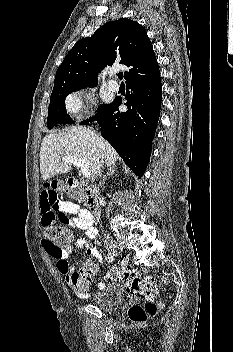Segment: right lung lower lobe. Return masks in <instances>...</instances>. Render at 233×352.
<instances>
[{
    "label": "right lung lower lobe",
    "mask_w": 233,
    "mask_h": 352,
    "mask_svg": "<svg viewBox=\"0 0 233 352\" xmlns=\"http://www.w3.org/2000/svg\"><path fill=\"white\" fill-rule=\"evenodd\" d=\"M124 103L128 110L117 112L120 97L98 109L93 118L82 121L88 124L97 120L101 135L113 146L123 161L141 178L146 170L161 106V80L159 68L152 73L126 83Z\"/></svg>",
    "instance_id": "obj_1"
}]
</instances>
